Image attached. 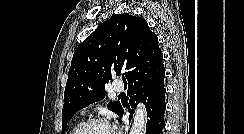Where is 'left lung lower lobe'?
Listing matches in <instances>:
<instances>
[{
	"label": "left lung lower lobe",
	"instance_id": "0a47b994",
	"mask_svg": "<svg viewBox=\"0 0 244 134\" xmlns=\"http://www.w3.org/2000/svg\"><path fill=\"white\" fill-rule=\"evenodd\" d=\"M165 93L166 89L162 79L156 80L153 84L141 90H128L127 92V99L132 107H135L139 101L145 104L149 117L146 134H163L165 128L163 115L166 110ZM123 113L124 110L122 109L119 116L122 117Z\"/></svg>",
	"mask_w": 244,
	"mask_h": 134
}]
</instances>
